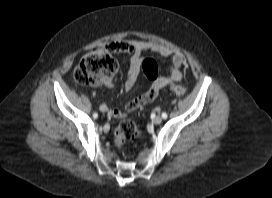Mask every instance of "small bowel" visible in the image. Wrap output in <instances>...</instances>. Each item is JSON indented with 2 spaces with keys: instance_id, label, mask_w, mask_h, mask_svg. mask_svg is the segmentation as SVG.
I'll return each mask as SVG.
<instances>
[{
  "instance_id": "small-bowel-1",
  "label": "small bowel",
  "mask_w": 272,
  "mask_h": 198,
  "mask_svg": "<svg viewBox=\"0 0 272 198\" xmlns=\"http://www.w3.org/2000/svg\"><path fill=\"white\" fill-rule=\"evenodd\" d=\"M107 47L116 53L130 54L129 70L124 83L125 91L131 90L139 78L142 64V54L144 52H153L163 57H169L171 58L172 62L169 74L167 76H159L158 74L146 75L151 81L148 91L128 102L124 111L120 109H112L110 111V116L112 118H121L126 112L134 111L137 108L152 102L156 99L163 87L167 86L171 82L180 81L183 78L182 69L185 63L183 55L174 52L162 44L142 40H122L112 41L108 43ZM105 86L112 88L114 84L111 80H108L105 82Z\"/></svg>"
}]
</instances>
